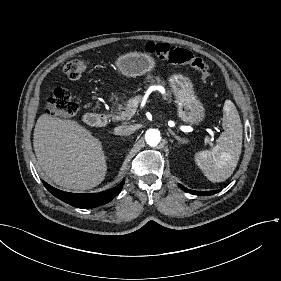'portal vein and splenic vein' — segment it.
<instances>
[{
    "label": "portal vein and splenic vein",
    "instance_id": "18ae733b",
    "mask_svg": "<svg viewBox=\"0 0 281 281\" xmlns=\"http://www.w3.org/2000/svg\"><path fill=\"white\" fill-rule=\"evenodd\" d=\"M145 98V95L143 93H140L139 95H135L131 101L129 102V107L127 108V111L125 112V118L131 119L133 117V114L137 108L138 101L143 100ZM202 128V127H201Z\"/></svg>",
    "mask_w": 281,
    "mask_h": 281
}]
</instances>
